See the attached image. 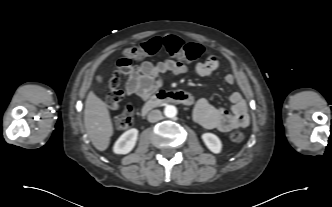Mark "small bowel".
<instances>
[{
	"label": "small bowel",
	"mask_w": 332,
	"mask_h": 207,
	"mask_svg": "<svg viewBox=\"0 0 332 207\" xmlns=\"http://www.w3.org/2000/svg\"><path fill=\"white\" fill-rule=\"evenodd\" d=\"M219 67V61L215 56H208L204 61L195 65V73L199 76H208ZM188 67L181 61L172 59L153 64L149 61L139 65H131L124 74L127 78L125 90L127 95H137L146 100L152 93L163 85L164 76H177L185 74ZM227 85H233L236 78L233 74H227L224 78ZM232 107L230 111L212 105L207 99L200 98L194 104V119L207 129H216L229 132L234 129L244 128L249 124L247 103L239 92L230 96Z\"/></svg>",
	"instance_id": "c3829d8e"
}]
</instances>
